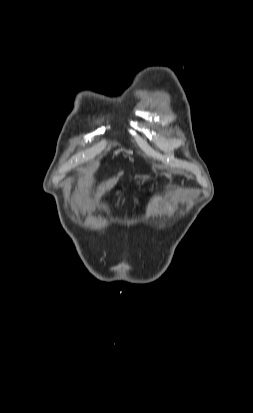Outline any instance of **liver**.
<instances>
[{"instance_id": "liver-1", "label": "liver", "mask_w": 253, "mask_h": 413, "mask_svg": "<svg viewBox=\"0 0 253 413\" xmlns=\"http://www.w3.org/2000/svg\"><path fill=\"white\" fill-rule=\"evenodd\" d=\"M122 174L123 172H119L117 177L111 178L107 180L106 182H103L98 188V195H102L106 191L112 189L114 185L117 183L119 176H121Z\"/></svg>"}]
</instances>
